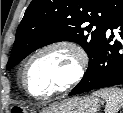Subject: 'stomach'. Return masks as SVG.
Masks as SVG:
<instances>
[{
	"label": "stomach",
	"mask_w": 123,
	"mask_h": 113,
	"mask_svg": "<svg viewBox=\"0 0 123 113\" xmlns=\"http://www.w3.org/2000/svg\"><path fill=\"white\" fill-rule=\"evenodd\" d=\"M100 103L93 96L73 97L45 109L42 113H97Z\"/></svg>",
	"instance_id": "obj_1"
}]
</instances>
